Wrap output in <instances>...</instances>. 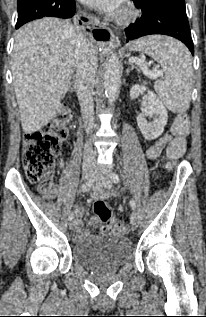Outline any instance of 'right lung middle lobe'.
Returning <instances> with one entry per match:
<instances>
[{"instance_id": "dd1d6c3e", "label": "right lung middle lobe", "mask_w": 206, "mask_h": 317, "mask_svg": "<svg viewBox=\"0 0 206 317\" xmlns=\"http://www.w3.org/2000/svg\"><path fill=\"white\" fill-rule=\"evenodd\" d=\"M71 0H18L16 28L42 17H57V9Z\"/></svg>"}]
</instances>
